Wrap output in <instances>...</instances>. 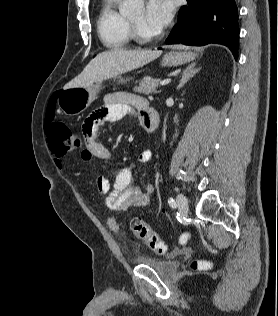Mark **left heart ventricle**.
I'll return each mask as SVG.
<instances>
[{
  "instance_id": "1",
  "label": "left heart ventricle",
  "mask_w": 278,
  "mask_h": 316,
  "mask_svg": "<svg viewBox=\"0 0 278 316\" xmlns=\"http://www.w3.org/2000/svg\"><path fill=\"white\" fill-rule=\"evenodd\" d=\"M133 22H135L138 26H140V28L142 29V31L146 34H154L157 31L150 29L149 27H147V25L145 24L144 21V11L141 10L139 13H137L136 15L132 16L130 18Z\"/></svg>"
}]
</instances>
